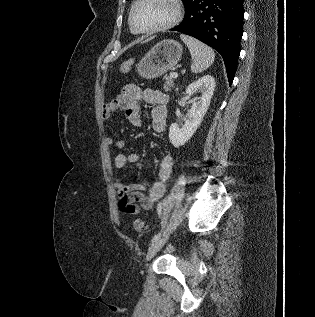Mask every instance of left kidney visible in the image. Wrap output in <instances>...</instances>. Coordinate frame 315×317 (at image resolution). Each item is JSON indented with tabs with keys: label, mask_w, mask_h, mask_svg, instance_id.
<instances>
[{
	"label": "left kidney",
	"mask_w": 315,
	"mask_h": 317,
	"mask_svg": "<svg viewBox=\"0 0 315 317\" xmlns=\"http://www.w3.org/2000/svg\"><path fill=\"white\" fill-rule=\"evenodd\" d=\"M215 86V79L211 75H205L186 88L187 95L191 96L198 92L201 93V97L197 102H193L181 129L176 123L171 124L169 140L174 147L179 148L184 145L200 126L210 105Z\"/></svg>",
	"instance_id": "left-kidney-1"
}]
</instances>
